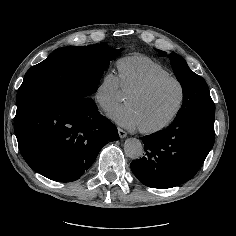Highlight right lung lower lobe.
Segmentation results:
<instances>
[{"label": "right lung lower lobe", "instance_id": "obj_1", "mask_svg": "<svg viewBox=\"0 0 236 236\" xmlns=\"http://www.w3.org/2000/svg\"><path fill=\"white\" fill-rule=\"evenodd\" d=\"M14 130L27 164L59 182L79 179L108 142L116 126L93 100L73 95L42 99L17 110Z\"/></svg>", "mask_w": 236, "mask_h": 236}]
</instances>
